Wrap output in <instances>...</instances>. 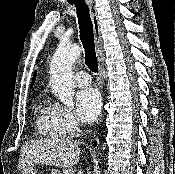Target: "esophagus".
Instances as JSON below:
<instances>
[{
	"instance_id": "34e87169",
	"label": "esophagus",
	"mask_w": 175,
	"mask_h": 174,
	"mask_svg": "<svg viewBox=\"0 0 175 174\" xmlns=\"http://www.w3.org/2000/svg\"><path fill=\"white\" fill-rule=\"evenodd\" d=\"M85 1L89 7L90 15L93 23L94 41H95L96 55L98 60L99 75L101 80H103L102 78V72L104 69L103 40L101 36V28L99 24L98 15H97V9L93 0H85Z\"/></svg>"
}]
</instances>
